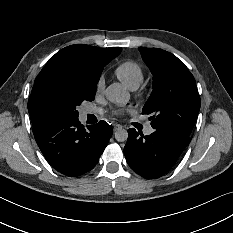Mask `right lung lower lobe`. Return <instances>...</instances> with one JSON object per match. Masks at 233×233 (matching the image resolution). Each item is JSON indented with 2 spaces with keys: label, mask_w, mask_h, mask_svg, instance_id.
Returning a JSON list of instances; mask_svg holds the SVG:
<instances>
[{
  "label": "right lung lower lobe",
  "mask_w": 233,
  "mask_h": 233,
  "mask_svg": "<svg viewBox=\"0 0 233 233\" xmlns=\"http://www.w3.org/2000/svg\"><path fill=\"white\" fill-rule=\"evenodd\" d=\"M113 133L105 121L88 126L78 119L43 122L33 126L36 142L49 164L76 177L95 167Z\"/></svg>",
  "instance_id": "98d812e1"
}]
</instances>
